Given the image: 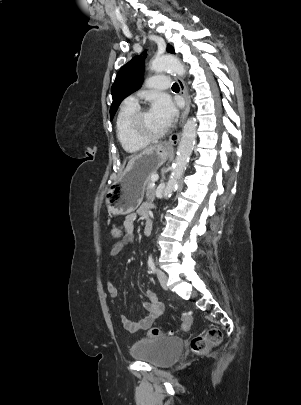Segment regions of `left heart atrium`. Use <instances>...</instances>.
<instances>
[{"mask_svg":"<svg viewBox=\"0 0 301 405\" xmlns=\"http://www.w3.org/2000/svg\"><path fill=\"white\" fill-rule=\"evenodd\" d=\"M151 111L166 125L176 118L178 110L172 99L166 94L157 95L152 102Z\"/></svg>","mask_w":301,"mask_h":405,"instance_id":"obj_1","label":"left heart atrium"}]
</instances>
